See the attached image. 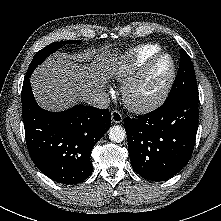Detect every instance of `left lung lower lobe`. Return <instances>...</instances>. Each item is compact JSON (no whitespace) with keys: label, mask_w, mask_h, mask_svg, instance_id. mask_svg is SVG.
<instances>
[{"label":"left lung lower lobe","mask_w":221,"mask_h":221,"mask_svg":"<svg viewBox=\"0 0 221 221\" xmlns=\"http://www.w3.org/2000/svg\"><path fill=\"white\" fill-rule=\"evenodd\" d=\"M198 101V94H184L150 113L124 119L135 172L148 180L163 181L188 163L198 128Z\"/></svg>","instance_id":"0a47b994"}]
</instances>
